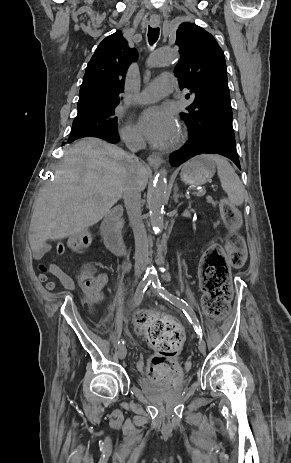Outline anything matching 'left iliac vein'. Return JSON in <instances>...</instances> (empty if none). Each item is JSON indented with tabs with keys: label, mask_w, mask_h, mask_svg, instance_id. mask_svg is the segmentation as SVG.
<instances>
[{
	"label": "left iliac vein",
	"mask_w": 291,
	"mask_h": 463,
	"mask_svg": "<svg viewBox=\"0 0 291 463\" xmlns=\"http://www.w3.org/2000/svg\"><path fill=\"white\" fill-rule=\"evenodd\" d=\"M198 349L201 353H205L206 351V343L202 338L199 340Z\"/></svg>",
	"instance_id": "4c4485c4"
}]
</instances>
